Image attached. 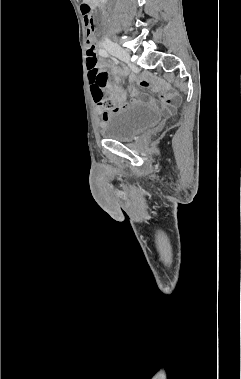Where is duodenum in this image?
Instances as JSON below:
<instances>
[{
	"label": "duodenum",
	"instance_id": "duodenum-1",
	"mask_svg": "<svg viewBox=\"0 0 241 379\" xmlns=\"http://www.w3.org/2000/svg\"><path fill=\"white\" fill-rule=\"evenodd\" d=\"M99 0H88V4H84L87 6V8L90 10V7L96 6L98 4ZM90 17V13L88 14Z\"/></svg>",
	"mask_w": 241,
	"mask_h": 379
}]
</instances>
